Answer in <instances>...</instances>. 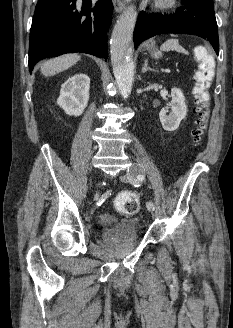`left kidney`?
Returning a JSON list of instances; mask_svg holds the SVG:
<instances>
[{"instance_id": "5707ae66", "label": "left kidney", "mask_w": 233, "mask_h": 328, "mask_svg": "<svg viewBox=\"0 0 233 328\" xmlns=\"http://www.w3.org/2000/svg\"><path fill=\"white\" fill-rule=\"evenodd\" d=\"M171 97V102L162 108L159 113L163 129L170 132L175 131L179 127L180 122L187 114V105L182 91L178 88H172Z\"/></svg>"}]
</instances>
